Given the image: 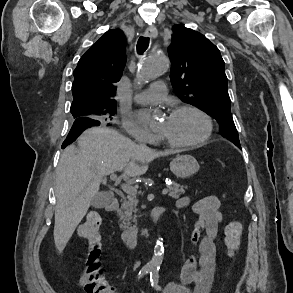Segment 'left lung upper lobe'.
<instances>
[{
	"label": "left lung upper lobe",
	"instance_id": "left-lung-upper-lobe-1",
	"mask_svg": "<svg viewBox=\"0 0 293 293\" xmlns=\"http://www.w3.org/2000/svg\"><path fill=\"white\" fill-rule=\"evenodd\" d=\"M173 33L168 53L176 95L210 113L219 123L221 135L240 146L219 49L204 35L183 25H175Z\"/></svg>",
	"mask_w": 293,
	"mask_h": 293
}]
</instances>
